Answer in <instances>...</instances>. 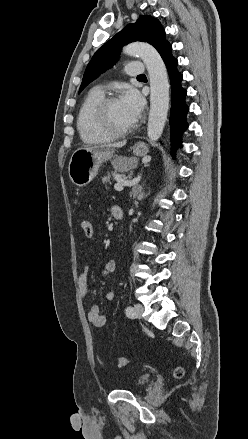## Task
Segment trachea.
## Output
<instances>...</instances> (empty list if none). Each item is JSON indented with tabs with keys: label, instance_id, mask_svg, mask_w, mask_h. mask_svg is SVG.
Listing matches in <instances>:
<instances>
[{
	"label": "trachea",
	"instance_id": "obj_1",
	"mask_svg": "<svg viewBox=\"0 0 248 439\" xmlns=\"http://www.w3.org/2000/svg\"><path fill=\"white\" fill-rule=\"evenodd\" d=\"M138 77H145V75H144V74H142V75H140V76H138Z\"/></svg>",
	"mask_w": 248,
	"mask_h": 439
}]
</instances>
